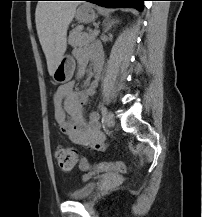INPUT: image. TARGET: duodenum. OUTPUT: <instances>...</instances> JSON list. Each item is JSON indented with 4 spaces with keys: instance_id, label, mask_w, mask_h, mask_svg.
Returning a JSON list of instances; mask_svg holds the SVG:
<instances>
[{
    "instance_id": "obj_1",
    "label": "duodenum",
    "mask_w": 202,
    "mask_h": 217,
    "mask_svg": "<svg viewBox=\"0 0 202 217\" xmlns=\"http://www.w3.org/2000/svg\"><path fill=\"white\" fill-rule=\"evenodd\" d=\"M99 75V71L98 69L95 70V76H98Z\"/></svg>"
}]
</instances>
